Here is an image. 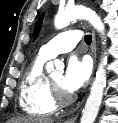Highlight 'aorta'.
Returning <instances> with one entry per match:
<instances>
[{
  "instance_id": "obj_1",
  "label": "aorta",
  "mask_w": 118,
  "mask_h": 123,
  "mask_svg": "<svg viewBox=\"0 0 118 123\" xmlns=\"http://www.w3.org/2000/svg\"><path fill=\"white\" fill-rule=\"evenodd\" d=\"M77 19H86L96 30L100 33L101 37L104 38L105 26L98 14L85 6H72L66 8L64 11L59 12L55 16L54 26L56 29H62L67 27L70 22ZM106 39L103 41L105 44ZM108 57L103 55L101 62L98 66L95 79L90 89L89 96L87 98L85 107L80 123H94L95 118L99 112L104 89L106 87V69ZM54 66H63V63L59 60L49 62L47 64V70H52Z\"/></svg>"
}]
</instances>
